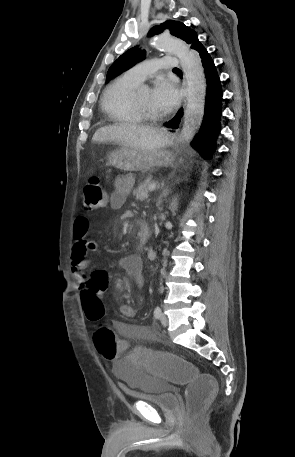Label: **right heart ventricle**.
<instances>
[{
  "label": "right heart ventricle",
  "mask_w": 295,
  "mask_h": 457,
  "mask_svg": "<svg viewBox=\"0 0 295 457\" xmlns=\"http://www.w3.org/2000/svg\"><path fill=\"white\" fill-rule=\"evenodd\" d=\"M140 82L127 74L113 80L104 90L101 107L108 117L118 123L139 124L144 118L135 110L132 95Z\"/></svg>",
  "instance_id": "right-heart-ventricle-1"
}]
</instances>
